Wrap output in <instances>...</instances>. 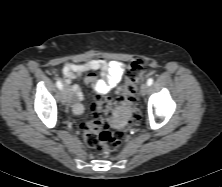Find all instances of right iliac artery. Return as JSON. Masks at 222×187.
Masks as SVG:
<instances>
[{"mask_svg":"<svg viewBox=\"0 0 222 187\" xmlns=\"http://www.w3.org/2000/svg\"><path fill=\"white\" fill-rule=\"evenodd\" d=\"M56 85H57V87H58L59 89H62V88H63V84H62V82H61L60 80H58V81L56 82Z\"/></svg>","mask_w":222,"mask_h":187,"instance_id":"1","label":"right iliac artery"}]
</instances>
